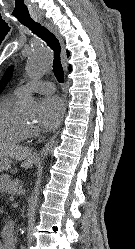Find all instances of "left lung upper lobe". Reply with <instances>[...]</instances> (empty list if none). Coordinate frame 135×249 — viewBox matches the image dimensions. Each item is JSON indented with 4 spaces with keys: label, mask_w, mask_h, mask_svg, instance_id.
Returning a JSON list of instances; mask_svg holds the SVG:
<instances>
[{
    "label": "left lung upper lobe",
    "mask_w": 135,
    "mask_h": 249,
    "mask_svg": "<svg viewBox=\"0 0 135 249\" xmlns=\"http://www.w3.org/2000/svg\"><path fill=\"white\" fill-rule=\"evenodd\" d=\"M11 75H12V66L6 70L4 77L0 82V92L2 91L3 85L7 84V82L9 81Z\"/></svg>",
    "instance_id": "5c2ea615"
}]
</instances>
